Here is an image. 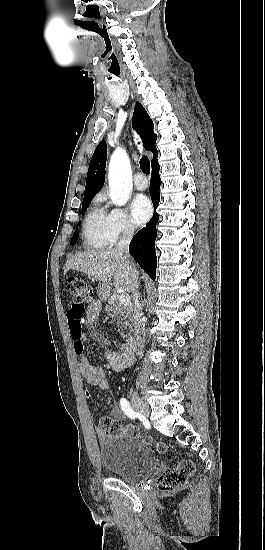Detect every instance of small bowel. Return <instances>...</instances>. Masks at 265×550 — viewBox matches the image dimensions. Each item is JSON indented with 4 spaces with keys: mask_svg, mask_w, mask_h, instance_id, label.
<instances>
[{
    "mask_svg": "<svg viewBox=\"0 0 265 550\" xmlns=\"http://www.w3.org/2000/svg\"><path fill=\"white\" fill-rule=\"evenodd\" d=\"M100 312L101 303L97 300L93 301L87 308L86 322L89 325L91 338L96 343L104 345L107 343L106 338L93 327V324L97 321ZM75 323H80L82 326V321L80 322L75 320ZM70 332L72 338L75 340L74 352L80 357L79 370L81 375L86 379L89 386L97 387L99 389H107L109 387V382L103 366L92 363L90 358L85 354V346L88 342L87 334L82 330V327L81 331L75 336L72 334L71 328ZM105 355L110 366L116 371H123L127 369L133 361V354L125 348H122L120 351L108 350ZM109 415L118 420H123L125 418L121 405L112 406L109 411ZM97 434L101 439L106 438V434H104L101 429L97 430Z\"/></svg>",
    "mask_w": 265,
    "mask_h": 550,
    "instance_id": "obj_1",
    "label": "small bowel"
}]
</instances>
